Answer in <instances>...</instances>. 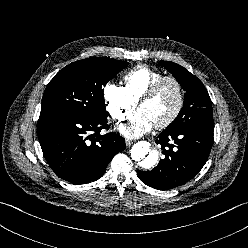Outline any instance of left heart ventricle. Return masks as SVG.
<instances>
[{
    "instance_id": "b2bd125f",
    "label": "left heart ventricle",
    "mask_w": 248,
    "mask_h": 248,
    "mask_svg": "<svg viewBox=\"0 0 248 248\" xmlns=\"http://www.w3.org/2000/svg\"><path fill=\"white\" fill-rule=\"evenodd\" d=\"M178 103L176 86L167 81L161 85L157 93L147 102L140 105L139 111L144 112L152 121L158 124L167 119Z\"/></svg>"
}]
</instances>
